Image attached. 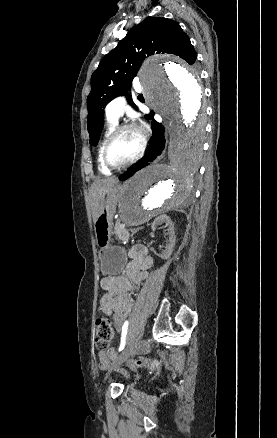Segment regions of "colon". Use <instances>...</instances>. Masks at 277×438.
Returning <instances> with one entry per match:
<instances>
[{"mask_svg": "<svg viewBox=\"0 0 277 438\" xmlns=\"http://www.w3.org/2000/svg\"><path fill=\"white\" fill-rule=\"evenodd\" d=\"M115 335L114 323L108 318H99L95 321V344L101 350L109 348L110 343ZM111 359L115 358V355H110ZM134 366H149L154 368L157 366L153 360L138 358L133 361Z\"/></svg>", "mask_w": 277, "mask_h": 438, "instance_id": "colon-1", "label": "colon"}]
</instances>
